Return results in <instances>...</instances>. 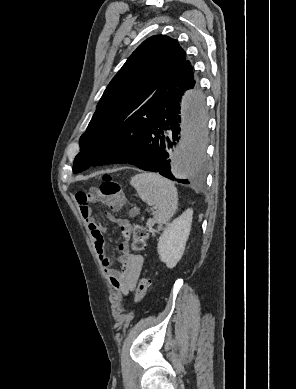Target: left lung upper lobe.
<instances>
[{"mask_svg": "<svg viewBox=\"0 0 296 389\" xmlns=\"http://www.w3.org/2000/svg\"><path fill=\"white\" fill-rule=\"evenodd\" d=\"M187 72L193 74L191 64L176 40L164 35L145 40L104 91L80 138V153L74 160L73 173L98 166L97 149L107 136L140 107L147 106L162 84Z\"/></svg>", "mask_w": 296, "mask_h": 389, "instance_id": "5c2ea615", "label": "left lung upper lobe"}]
</instances>
